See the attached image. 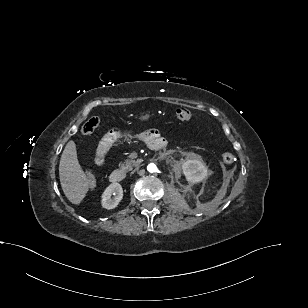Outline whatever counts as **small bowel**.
Returning <instances> with one entry per match:
<instances>
[{"label": "small bowel", "mask_w": 308, "mask_h": 308, "mask_svg": "<svg viewBox=\"0 0 308 308\" xmlns=\"http://www.w3.org/2000/svg\"><path fill=\"white\" fill-rule=\"evenodd\" d=\"M121 132L119 130H112L108 132L97 144L95 148V162L102 166L105 161V156L111 146L120 138ZM140 140L150 144L155 139H162L160 134L155 129H147L139 134Z\"/></svg>", "instance_id": "1"}]
</instances>
